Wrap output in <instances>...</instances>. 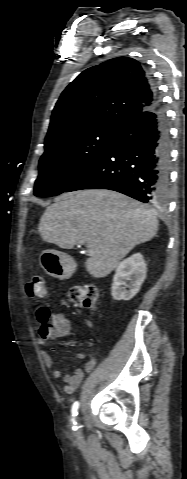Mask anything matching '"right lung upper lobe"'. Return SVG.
Wrapping results in <instances>:
<instances>
[{"instance_id":"cb5924a9","label":"right lung upper lobe","mask_w":187,"mask_h":479,"mask_svg":"<svg viewBox=\"0 0 187 479\" xmlns=\"http://www.w3.org/2000/svg\"><path fill=\"white\" fill-rule=\"evenodd\" d=\"M158 102L138 61L121 57L83 71L61 94L45 144L68 132L94 126L121 129Z\"/></svg>"}]
</instances>
